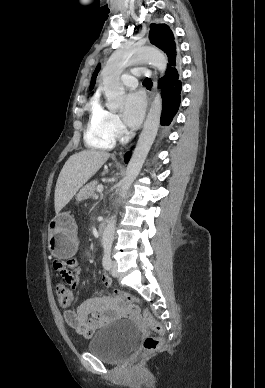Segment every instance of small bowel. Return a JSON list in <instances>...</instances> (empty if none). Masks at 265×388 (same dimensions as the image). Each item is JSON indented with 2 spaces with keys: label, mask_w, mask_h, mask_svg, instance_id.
I'll return each mask as SVG.
<instances>
[{
  "label": "small bowel",
  "mask_w": 265,
  "mask_h": 388,
  "mask_svg": "<svg viewBox=\"0 0 265 388\" xmlns=\"http://www.w3.org/2000/svg\"><path fill=\"white\" fill-rule=\"evenodd\" d=\"M71 289L80 285V266L76 258L58 261L55 264ZM102 282L111 286L113 281L107 273L102 274ZM124 312L121 302L109 296L93 297L82 303L76 310L64 312L65 322L79 335L89 338L103 325L117 319Z\"/></svg>",
  "instance_id": "c3829d8e"
}]
</instances>
